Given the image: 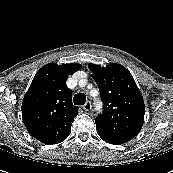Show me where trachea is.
<instances>
[{
  "mask_svg": "<svg viewBox=\"0 0 173 173\" xmlns=\"http://www.w3.org/2000/svg\"><path fill=\"white\" fill-rule=\"evenodd\" d=\"M73 102L75 105H84L86 102V96L84 93H77L74 98Z\"/></svg>",
  "mask_w": 173,
  "mask_h": 173,
  "instance_id": "obj_1",
  "label": "trachea"
}]
</instances>
